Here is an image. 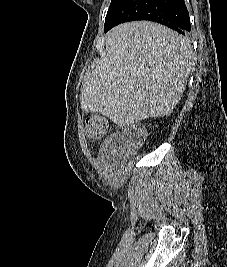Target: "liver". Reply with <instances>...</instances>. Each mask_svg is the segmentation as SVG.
I'll return each mask as SVG.
<instances>
[{"label": "liver", "mask_w": 227, "mask_h": 267, "mask_svg": "<svg viewBox=\"0 0 227 267\" xmlns=\"http://www.w3.org/2000/svg\"><path fill=\"white\" fill-rule=\"evenodd\" d=\"M192 48L150 21L121 24L106 37V55L87 74L80 101L120 127L169 114L191 72Z\"/></svg>", "instance_id": "1"}]
</instances>
